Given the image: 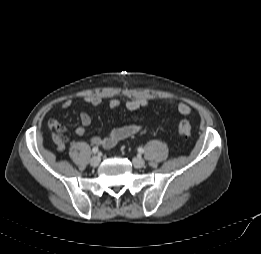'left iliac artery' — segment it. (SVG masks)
<instances>
[{"label": "left iliac artery", "mask_w": 261, "mask_h": 254, "mask_svg": "<svg viewBox=\"0 0 261 254\" xmlns=\"http://www.w3.org/2000/svg\"><path fill=\"white\" fill-rule=\"evenodd\" d=\"M138 152H139V153H143V152H144V149L141 148V147H139V148H138Z\"/></svg>", "instance_id": "44dca946"}]
</instances>
